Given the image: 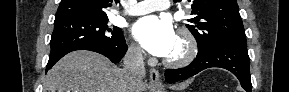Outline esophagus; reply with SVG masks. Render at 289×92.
I'll return each mask as SVG.
<instances>
[{
	"label": "esophagus",
	"mask_w": 289,
	"mask_h": 92,
	"mask_svg": "<svg viewBox=\"0 0 289 92\" xmlns=\"http://www.w3.org/2000/svg\"><path fill=\"white\" fill-rule=\"evenodd\" d=\"M150 84L153 87H159L161 85L160 74L154 68L150 70Z\"/></svg>",
	"instance_id": "34e87169"
}]
</instances>
